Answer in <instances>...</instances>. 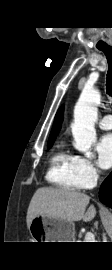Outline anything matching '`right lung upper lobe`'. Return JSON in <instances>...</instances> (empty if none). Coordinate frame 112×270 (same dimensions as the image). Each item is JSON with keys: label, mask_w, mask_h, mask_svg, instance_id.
Wrapping results in <instances>:
<instances>
[{"label": "right lung upper lobe", "mask_w": 112, "mask_h": 270, "mask_svg": "<svg viewBox=\"0 0 112 270\" xmlns=\"http://www.w3.org/2000/svg\"><path fill=\"white\" fill-rule=\"evenodd\" d=\"M62 113H63V107H61L56 113L54 124H53V127H52V131L50 133V137H49L48 142L54 141V139L56 138V136L58 135V133L60 131L61 123H62V120H63Z\"/></svg>", "instance_id": "obj_1"}]
</instances>
